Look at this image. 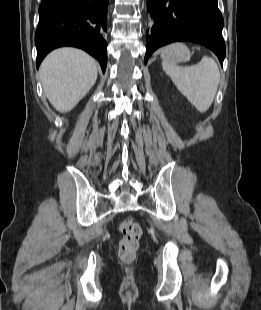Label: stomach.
<instances>
[{"label": "stomach", "mask_w": 261, "mask_h": 310, "mask_svg": "<svg viewBox=\"0 0 261 310\" xmlns=\"http://www.w3.org/2000/svg\"><path fill=\"white\" fill-rule=\"evenodd\" d=\"M163 58L171 64H178L189 61L191 53L189 49L183 44H174L162 51Z\"/></svg>", "instance_id": "obj_1"}]
</instances>
